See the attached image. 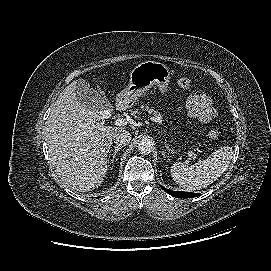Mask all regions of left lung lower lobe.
<instances>
[{
  "label": "left lung lower lobe",
  "mask_w": 271,
  "mask_h": 271,
  "mask_svg": "<svg viewBox=\"0 0 271 271\" xmlns=\"http://www.w3.org/2000/svg\"><path fill=\"white\" fill-rule=\"evenodd\" d=\"M161 188L166 191L168 194H170L171 196L177 197V198H190V197H196L199 194L197 193H191V192H182V191H172L169 189H166L164 187L161 186Z\"/></svg>",
  "instance_id": "1"
}]
</instances>
